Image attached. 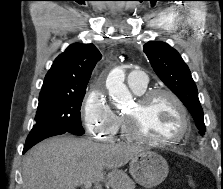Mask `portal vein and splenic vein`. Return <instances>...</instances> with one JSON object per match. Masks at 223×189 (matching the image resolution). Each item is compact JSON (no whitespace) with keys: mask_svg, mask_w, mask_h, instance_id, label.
Returning <instances> with one entry per match:
<instances>
[{"mask_svg":"<svg viewBox=\"0 0 223 189\" xmlns=\"http://www.w3.org/2000/svg\"><path fill=\"white\" fill-rule=\"evenodd\" d=\"M84 188L85 189H91L92 188V182L91 181H86L84 183Z\"/></svg>","mask_w":223,"mask_h":189,"instance_id":"1","label":"portal vein and splenic vein"}]
</instances>
